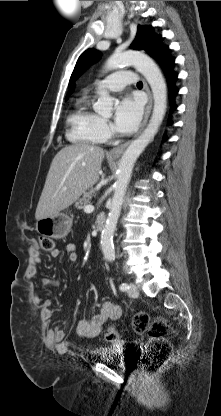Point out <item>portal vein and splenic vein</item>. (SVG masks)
<instances>
[{
	"label": "portal vein and splenic vein",
	"mask_w": 221,
	"mask_h": 416,
	"mask_svg": "<svg viewBox=\"0 0 221 416\" xmlns=\"http://www.w3.org/2000/svg\"><path fill=\"white\" fill-rule=\"evenodd\" d=\"M94 210V206L92 205H86L84 208L85 212H92Z\"/></svg>",
	"instance_id": "portal-vein-and-splenic-vein-1"
}]
</instances>
